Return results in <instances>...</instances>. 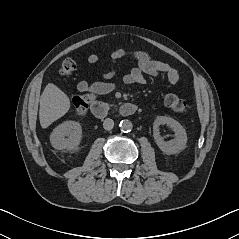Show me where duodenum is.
<instances>
[{
  "mask_svg": "<svg viewBox=\"0 0 239 239\" xmlns=\"http://www.w3.org/2000/svg\"><path fill=\"white\" fill-rule=\"evenodd\" d=\"M137 110L138 106L133 103H124L117 109L121 116H131L135 114ZM109 111V106L101 102L94 101L91 104V112L97 119H104L108 115Z\"/></svg>",
  "mask_w": 239,
  "mask_h": 239,
  "instance_id": "410a0bca",
  "label": "duodenum"
}]
</instances>
